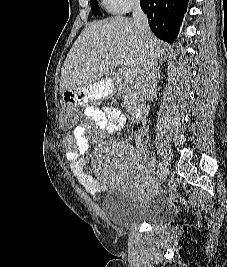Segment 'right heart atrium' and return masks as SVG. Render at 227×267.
<instances>
[{"label": "right heart atrium", "instance_id": "obj_1", "mask_svg": "<svg viewBox=\"0 0 227 267\" xmlns=\"http://www.w3.org/2000/svg\"><path fill=\"white\" fill-rule=\"evenodd\" d=\"M104 5L113 12L125 13L140 5V0H103Z\"/></svg>", "mask_w": 227, "mask_h": 267}]
</instances>
